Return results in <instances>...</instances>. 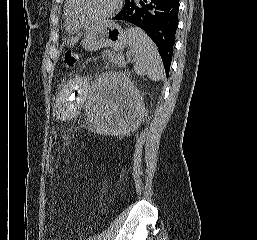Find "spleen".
Returning <instances> with one entry per match:
<instances>
[{"label":"spleen","mask_w":257,"mask_h":240,"mask_svg":"<svg viewBox=\"0 0 257 240\" xmlns=\"http://www.w3.org/2000/svg\"><path fill=\"white\" fill-rule=\"evenodd\" d=\"M127 41L134 58V71L137 75H147L152 81L164 77V67L157 47L141 29L129 27L126 30Z\"/></svg>","instance_id":"obj_1"}]
</instances>
